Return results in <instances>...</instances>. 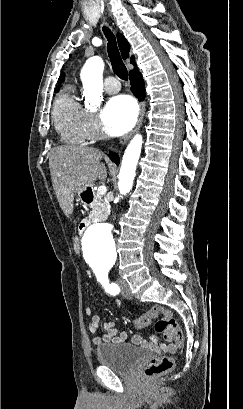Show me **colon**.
Instances as JSON below:
<instances>
[{
    "instance_id": "colon-1",
    "label": "colon",
    "mask_w": 243,
    "mask_h": 409,
    "mask_svg": "<svg viewBox=\"0 0 243 409\" xmlns=\"http://www.w3.org/2000/svg\"><path fill=\"white\" fill-rule=\"evenodd\" d=\"M73 250L76 253L80 251L79 240L77 237L73 238ZM158 318V319H157ZM157 319L154 328L156 332L162 334L164 338L175 339L178 346L183 342V333L178 323L172 316V313L163 306L152 307L147 314L138 318L135 321V325L138 327H144ZM175 366V358L173 356H159L152 359L145 367V375L149 379H153L169 373Z\"/></svg>"
}]
</instances>
